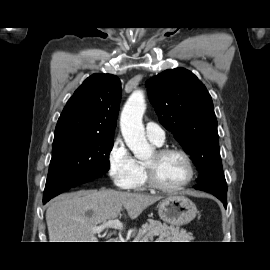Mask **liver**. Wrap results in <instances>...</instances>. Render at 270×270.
Masks as SVG:
<instances>
[{
	"label": "liver",
	"mask_w": 270,
	"mask_h": 270,
	"mask_svg": "<svg viewBox=\"0 0 270 270\" xmlns=\"http://www.w3.org/2000/svg\"><path fill=\"white\" fill-rule=\"evenodd\" d=\"M161 197L112 189L79 191L55 198L46 211L50 242H98L93 228L121 215L137 218Z\"/></svg>",
	"instance_id": "liver-1"
}]
</instances>
